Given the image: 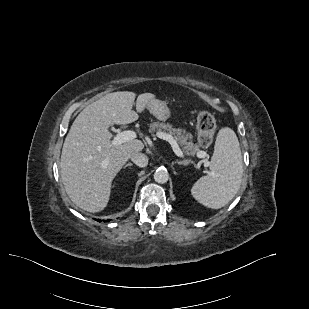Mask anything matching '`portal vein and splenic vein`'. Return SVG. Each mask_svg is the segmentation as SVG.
I'll return each instance as SVG.
<instances>
[{
  "label": "portal vein and splenic vein",
  "instance_id": "portal-vein-and-splenic-vein-1",
  "mask_svg": "<svg viewBox=\"0 0 309 309\" xmlns=\"http://www.w3.org/2000/svg\"><path fill=\"white\" fill-rule=\"evenodd\" d=\"M157 136L159 138L163 139V140L168 141L171 144L174 153L178 157H184V154H183L182 150L180 149L177 141L170 134H167V133H164V132H158ZM135 138H136V132L131 131V130L123 131V132H120V133L116 134V136L112 140V145H120V144H123L125 142L130 141V140H133ZM206 156H207V154L204 151H200L197 154L198 158H205ZM204 166L208 167L209 166V162L205 161L204 162Z\"/></svg>",
  "mask_w": 309,
  "mask_h": 309
}]
</instances>
